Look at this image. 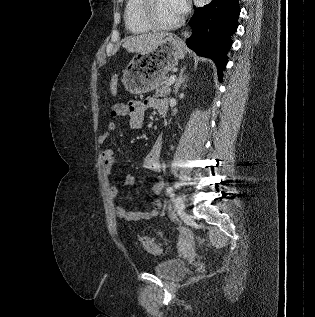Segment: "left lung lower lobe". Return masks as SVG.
<instances>
[{
  "instance_id": "1",
  "label": "left lung lower lobe",
  "mask_w": 315,
  "mask_h": 317,
  "mask_svg": "<svg viewBox=\"0 0 315 317\" xmlns=\"http://www.w3.org/2000/svg\"><path fill=\"white\" fill-rule=\"evenodd\" d=\"M239 14V0H212L203 7L195 8L189 21L192 36L186 40L187 46L199 56L215 62L220 80L228 61L231 36L238 27Z\"/></svg>"
}]
</instances>
